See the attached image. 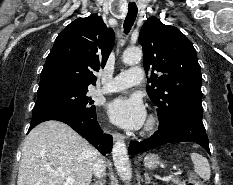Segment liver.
Here are the masks:
<instances>
[{
	"instance_id": "6515ba94",
	"label": "liver",
	"mask_w": 233,
	"mask_h": 185,
	"mask_svg": "<svg viewBox=\"0 0 233 185\" xmlns=\"http://www.w3.org/2000/svg\"><path fill=\"white\" fill-rule=\"evenodd\" d=\"M100 153L68 125L46 121L24 140L17 185H90Z\"/></svg>"
}]
</instances>
